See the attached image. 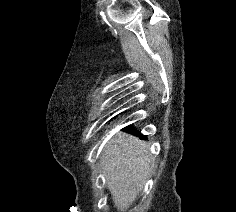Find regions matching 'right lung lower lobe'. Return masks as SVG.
<instances>
[{"mask_svg":"<svg viewBox=\"0 0 236 212\" xmlns=\"http://www.w3.org/2000/svg\"><path fill=\"white\" fill-rule=\"evenodd\" d=\"M132 126L127 127V131H131ZM138 135H141L140 133L137 132ZM141 138H146L145 136L141 135Z\"/></svg>","mask_w":236,"mask_h":212,"instance_id":"98d812e1","label":"right lung lower lobe"}]
</instances>
